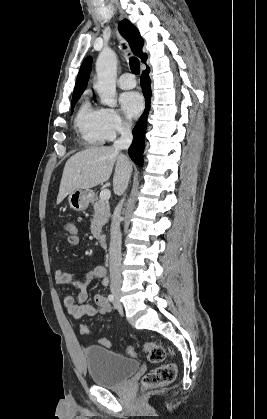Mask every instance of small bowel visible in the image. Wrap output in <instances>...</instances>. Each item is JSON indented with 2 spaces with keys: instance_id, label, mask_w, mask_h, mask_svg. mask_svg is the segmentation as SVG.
<instances>
[{
  "instance_id": "small-bowel-1",
  "label": "small bowel",
  "mask_w": 267,
  "mask_h": 419,
  "mask_svg": "<svg viewBox=\"0 0 267 419\" xmlns=\"http://www.w3.org/2000/svg\"><path fill=\"white\" fill-rule=\"evenodd\" d=\"M54 279L57 284H72L78 289L75 296L67 295L63 299L64 307L73 318L81 319L84 316L105 315L110 311L108 299L101 293L95 294V305L85 303L88 299L87 286L91 281L100 279L104 286L109 283L107 270L104 266H95L92 270L81 275L55 269Z\"/></svg>"
}]
</instances>
